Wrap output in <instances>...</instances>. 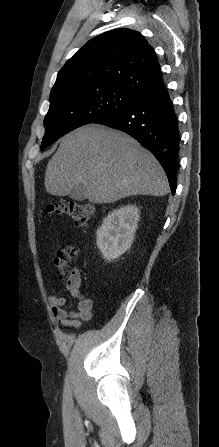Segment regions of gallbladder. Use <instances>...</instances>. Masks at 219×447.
I'll return each instance as SVG.
<instances>
[{"label":"gallbladder","mask_w":219,"mask_h":447,"mask_svg":"<svg viewBox=\"0 0 219 447\" xmlns=\"http://www.w3.org/2000/svg\"><path fill=\"white\" fill-rule=\"evenodd\" d=\"M69 197L75 201H84L85 199H87L84 186L80 184L78 187L74 188L70 192Z\"/></svg>","instance_id":"gallbladder-1"}]
</instances>
